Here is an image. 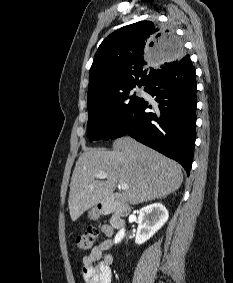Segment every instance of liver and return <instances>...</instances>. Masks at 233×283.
I'll return each instance as SVG.
<instances>
[{
	"label": "liver",
	"mask_w": 233,
	"mask_h": 283,
	"mask_svg": "<svg viewBox=\"0 0 233 283\" xmlns=\"http://www.w3.org/2000/svg\"><path fill=\"white\" fill-rule=\"evenodd\" d=\"M98 173L107 176L95 180ZM118 182L128 184L123 197L136 205L178 190L183 173L177 162L130 137L117 139L111 151L87 149L78 158L71 178L68 206L72 221L109 199Z\"/></svg>",
	"instance_id": "liver-1"
}]
</instances>
